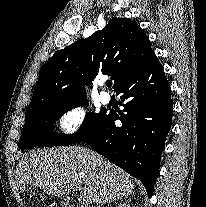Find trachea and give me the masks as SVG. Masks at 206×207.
I'll use <instances>...</instances> for the list:
<instances>
[{"mask_svg": "<svg viewBox=\"0 0 206 207\" xmlns=\"http://www.w3.org/2000/svg\"><path fill=\"white\" fill-rule=\"evenodd\" d=\"M106 86L111 87L112 86V81H106Z\"/></svg>", "mask_w": 206, "mask_h": 207, "instance_id": "obj_1", "label": "trachea"}]
</instances>
